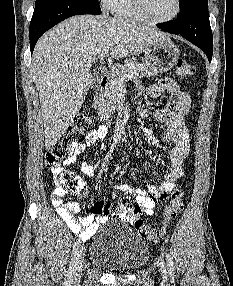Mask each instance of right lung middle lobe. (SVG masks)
<instances>
[{"label": "right lung middle lobe", "mask_w": 233, "mask_h": 286, "mask_svg": "<svg viewBox=\"0 0 233 286\" xmlns=\"http://www.w3.org/2000/svg\"><path fill=\"white\" fill-rule=\"evenodd\" d=\"M50 0H36L35 3V10L34 11H38L40 10L43 6H45ZM79 3L85 4L91 8H93L96 11L101 12V8L99 6V3L97 0H75Z\"/></svg>", "instance_id": "obj_1"}]
</instances>
